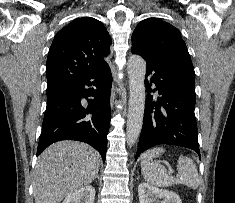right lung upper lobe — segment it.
Wrapping results in <instances>:
<instances>
[{
	"label": "right lung upper lobe",
	"instance_id": "obj_1",
	"mask_svg": "<svg viewBox=\"0 0 235 203\" xmlns=\"http://www.w3.org/2000/svg\"><path fill=\"white\" fill-rule=\"evenodd\" d=\"M111 37L103 24L91 17L74 20L61 29L50 47L47 87L65 86L107 62Z\"/></svg>",
	"mask_w": 235,
	"mask_h": 203
}]
</instances>
